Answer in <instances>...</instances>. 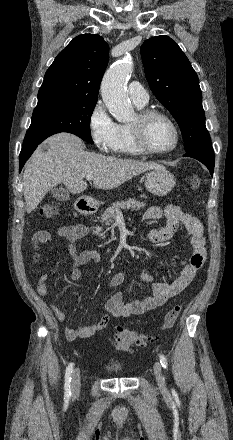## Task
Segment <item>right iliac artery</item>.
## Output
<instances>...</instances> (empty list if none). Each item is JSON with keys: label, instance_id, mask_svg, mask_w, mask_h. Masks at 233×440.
Listing matches in <instances>:
<instances>
[{"label": "right iliac artery", "instance_id": "right-iliac-artery-1", "mask_svg": "<svg viewBox=\"0 0 233 440\" xmlns=\"http://www.w3.org/2000/svg\"><path fill=\"white\" fill-rule=\"evenodd\" d=\"M73 363H70L68 365V367L66 368V373H65V385H64V389H65V398L69 399L71 396V375H72V371H73Z\"/></svg>", "mask_w": 233, "mask_h": 440}]
</instances>
